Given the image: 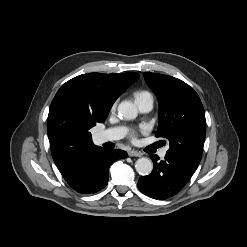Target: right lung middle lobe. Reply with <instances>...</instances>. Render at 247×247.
Here are the masks:
<instances>
[{
  "instance_id": "obj_1",
  "label": "right lung middle lobe",
  "mask_w": 247,
  "mask_h": 247,
  "mask_svg": "<svg viewBox=\"0 0 247 247\" xmlns=\"http://www.w3.org/2000/svg\"><path fill=\"white\" fill-rule=\"evenodd\" d=\"M60 116L63 129L76 137L85 139H91L92 137L89 130L95 126L96 123L104 122L106 119L104 118L101 121H97L89 115L80 114L69 108L64 109Z\"/></svg>"
}]
</instances>
